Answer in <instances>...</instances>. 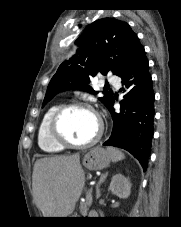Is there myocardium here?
I'll use <instances>...</instances> for the list:
<instances>
[{
	"label": "myocardium",
	"instance_id": "1",
	"mask_svg": "<svg viewBox=\"0 0 181 227\" xmlns=\"http://www.w3.org/2000/svg\"><path fill=\"white\" fill-rule=\"evenodd\" d=\"M74 108H83L88 111H90L97 120L98 123V130L95 134V136L90 139L87 142L84 143H75L67 139L60 131L59 123L62 118V116L71 109ZM103 122L100 118L99 114L96 112V110L88 103L82 102V101H73L70 103L63 104L57 108V110L54 112L53 116L51 117L50 123H49V133L52 139L60 144L63 147L68 148H76V149H86L94 146L102 137L103 134Z\"/></svg>",
	"mask_w": 181,
	"mask_h": 227
}]
</instances>
